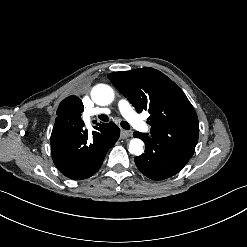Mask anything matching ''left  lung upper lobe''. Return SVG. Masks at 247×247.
Masks as SVG:
<instances>
[{
  "label": "left lung upper lobe",
  "instance_id": "1",
  "mask_svg": "<svg viewBox=\"0 0 247 247\" xmlns=\"http://www.w3.org/2000/svg\"><path fill=\"white\" fill-rule=\"evenodd\" d=\"M137 112L148 110L150 137L192 157L199 136L198 117L184 92L160 71L146 67L108 75Z\"/></svg>",
  "mask_w": 247,
  "mask_h": 247
}]
</instances>
